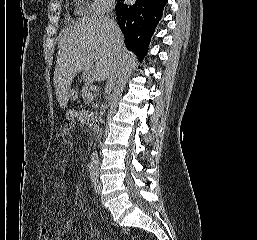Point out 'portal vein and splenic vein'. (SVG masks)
<instances>
[{
    "label": "portal vein and splenic vein",
    "mask_w": 257,
    "mask_h": 240,
    "mask_svg": "<svg viewBox=\"0 0 257 240\" xmlns=\"http://www.w3.org/2000/svg\"><path fill=\"white\" fill-rule=\"evenodd\" d=\"M88 97L89 99L93 100V95L91 93L88 95Z\"/></svg>",
    "instance_id": "portal-vein-and-splenic-vein-1"
}]
</instances>
